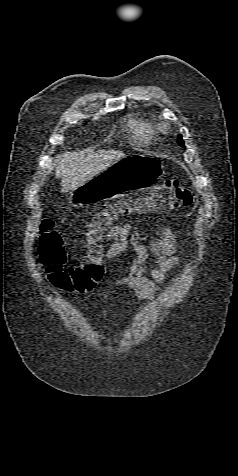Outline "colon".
Masks as SVG:
<instances>
[{"instance_id": "5ec220e1", "label": "colon", "mask_w": 238, "mask_h": 476, "mask_svg": "<svg viewBox=\"0 0 238 476\" xmlns=\"http://www.w3.org/2000/svg\"><path fill=\"white\" fill-rule=\"evenodd\" d=\"M192 192L177 180L157 184L145 196L133 201H122L99 212L86 225L88 257L78 265L65 267L66 252L60 234L51 219L41 223L37 255L49 282L66 292L91 290L103 277L101 242L108 227L117 219L135 214L168 213L190 206Z\"/></svg>"}]
</instances>
